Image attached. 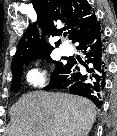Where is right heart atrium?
Masks as SVG:
<instances>
[{
  "mask_svg": "<svg viewBox=\"0 0 117 136\" xmlns=\"http://www.w3.org/2000/svg\"><path fill=\"white\" fill-rule=\"evenodd\" d=\"M26 81L33 87H40L46 81V74L40 69H31L26 74Z\"/></svg>",
  "mask_w": 117,
  "mask_h": 136,
  "instance_id": "obj_1",
  "label": "right heart atrium"
}]
</instances>
